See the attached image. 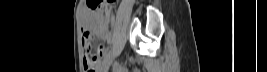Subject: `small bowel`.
Instances as JSON below:
<instances>
[{
	"label": "small bowel",
	"instance_id": "1",
	"mask_svg": "<svg viewBox=\"0 0 267 72\" xmlns=\"http://www.w3.org/2000/svg\"><path fill=\"white\" fill-rule=\"evenodd\" d=\"M95 32L99 37L105 40H109L110 32L108 28V22L100 21L95 29ZM86 43H90V41L88 33L84 31L82 34V47H84ZM106 56H107L106 45H102L100 46L98 52L97 66H96L97 69L95 68L94 72H102L105 63V61H103L102 58H106ZM83 63H85V59H83Z\"/></svg>",
	"mask_w": 267,
	"mask_h": 72
}]
</instances>
